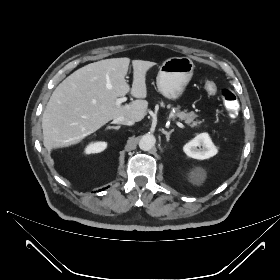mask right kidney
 Wrapping results in <instances>:
<instances>
[{
  "instance_id": "right-kidney-1",
  "label": "right kidney",
  "mask_w": 280,
  "mask_h": 280,
  "mask_svg": "<svg viewBox=\"0 0 280 280\" xmlns=\"http://www.w3.org/2000/svg\"><path fill=\"white\" fill-rule=\"evenodd\" d=\"M107 147V143L106 142H94V143H90L86 146L85 148V153L86 154H91V153H100L103 150H105Z\"/></svg>"
}]
</instances>
